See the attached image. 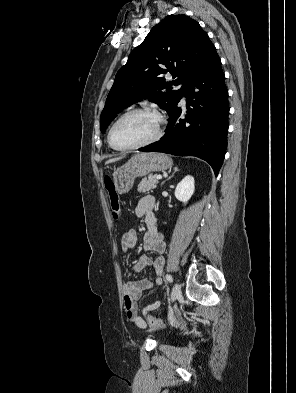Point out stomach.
<instances>
[{
	"label": "stomach",
	"mask_w": 296,
	"mask_h": 393,
	"mask_svg": "<svg viewBox=\"0 0 296 393\" xmlns=\"http://www.w3.org/2000/svg\"><path fill=\"white\" fill-rule=\"evenodd\" d=\"M173 165L172 159L163 153H140L113 173V183L119 194L128 192L137 177H144L154 171H164Z\"/></svg>",
	"instance_id": "0dacf381"
}]
</instances>
